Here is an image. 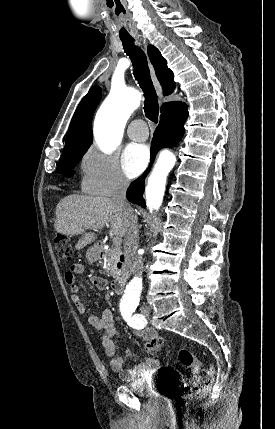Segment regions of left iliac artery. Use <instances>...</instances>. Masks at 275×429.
<instances>
[{
    "instance_id": "obj_1",
    "label": "left iliac artery",
    "mask_w": 275,
    "mask_h": 429,
    "mask_svg": "<svg viewBox=\"0 0 275 429\" xmlns=\"http://www.w3.org/2000/svg\"><path fill=\"white\" fill-rule=\"evenodd\" d=\"M136 307H121V315L124 320L128 323V325L134 329H141L146 325V319L141 314H133L135 312Z\"/></svg>"
}]
</instances>
